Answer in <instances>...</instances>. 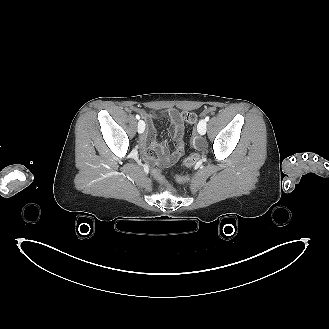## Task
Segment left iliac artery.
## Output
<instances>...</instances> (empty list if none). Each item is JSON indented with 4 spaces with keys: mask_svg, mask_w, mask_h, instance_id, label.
Instances as JSON below:
<instances>
[{
    "mask_svg": "<svg viewBox=\"0 0 329 329\" xmlns=\"http://www.w3.org/2000/svg\"><path fill=\"white\" fill-rule=\"evenodd\" d=\"M209 118H210L209 116H206V117H205V121H206V122L209 121Z\"/></svg>",
    "mask_w": 329,
    "mask_h": 329,
    "instance_id": "44dca946",
    "label": "left iliac artery"
}]
</instances>
